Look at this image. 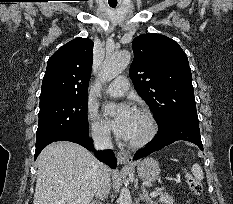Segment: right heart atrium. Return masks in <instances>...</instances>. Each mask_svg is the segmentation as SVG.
I'll return each mask as SVG.
<instances>
[{"label": "right heart atrium", "mask_w": 233, "mask_h": 204, "mask_svg": "<svg viewBox=\"0 0 233 204\" xmlns=\"http://www.w3.org/2000/svg\"><path fill=\"white\" fill-rule=\"evenodd\" d=\"M88 121L90 134L93 140L98 144H108L110 141V132L106 125L99 119L96 112L92 109L88 111Z\"/></svg>", "instance_id": "right-heart-atrium-1"}]
</instances>
